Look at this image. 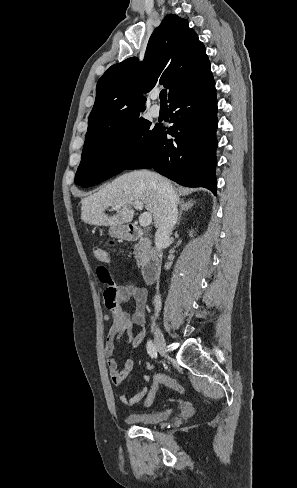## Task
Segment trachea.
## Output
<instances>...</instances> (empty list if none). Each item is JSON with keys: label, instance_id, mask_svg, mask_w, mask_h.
<instances>
[{"label": "trachea", "instance_id": "obj_1", "mask_svg": "<svg viewBox=\"0 0 297 488\" xmlns=\"http://www.w3.org/2000/svg\"><path fill=\"white\" fill-rule=\"evenodd\" d=\"M167 90L166 89H163L161 92H160V100H161V104L164 105V104H167Z\"/></svg>", "mask_w": 297, "mask_h": 488}]
</instances>
